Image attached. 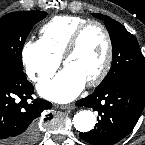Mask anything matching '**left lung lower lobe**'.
I'll return each mask as SVG.
<instances>
[{
  "mask_svg": "<svg viewBox=\"0 0 145 145\" xmlns=\"http://www.w3.org/2000/svg\"><path fill=\"white\" fill-rule=\"evenodd\" d=\"M78 106L93 108L100 115L95 128L80 137L92 145H113L134 128L145 105V81L121 78L95 89L77 101Z\"/></svg>",
  "mask_w": 145,
  "mask_h": 145,
  "instance_id": "0a47b994",
  "label": "left lung lower lobe"
}]
</instances>
